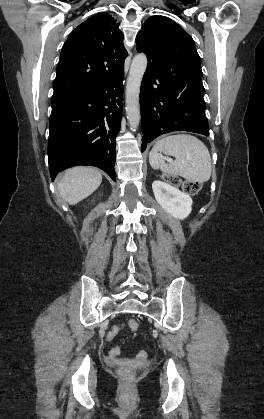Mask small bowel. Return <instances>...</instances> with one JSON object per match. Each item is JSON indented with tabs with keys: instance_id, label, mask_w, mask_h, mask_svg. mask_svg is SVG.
<instances>
[{
	"instance_id": "small-bowel-1",
	"label": "small bowel",
	"mask_w": 264,
	"mask_h": 419,
	"mask_svg": "<svg viewBox=\"0 0 264 419\" xmlns=\"http://www.w3.org/2000/svg\"><path fill=\"white\" fill-rule=\"evenodd\" d=\"M118 331H119V327L118 326H115L110 332H109V334H108V338L109 339H112L117 333H118ZM120 353V349H119V347H113L111 350H110V355L111 356H117L118 354Z\"/></svg>"
}]
</instances>
